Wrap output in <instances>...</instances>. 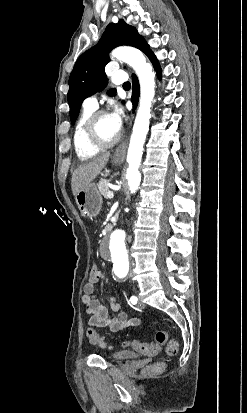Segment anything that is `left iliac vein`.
<instances>
[{
	"instance_id": "left-iliac-vein-1",
	"label": "left iliac vein",
	"mask_w": 247,
	"mask_h": 413,
	"mask_svg": "<svg viewBox=\"0 0 247 413\" xmlns=\"http://www.w3.org/2000/svg\"><path fill=\"white\" fill-rule=\"evenodd\" d=\"M137 307H138V308H143V307H144V304H143V302H142V300H141L140 296H138V303H137Z\"/></svg>"
}]
</instances>
